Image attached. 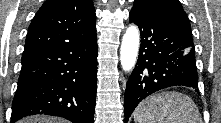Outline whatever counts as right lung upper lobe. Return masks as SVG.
<instances>
[{"label":"right lung upper lobe","instance_id":"obj_1","mask_svg":"<svg viewBox=\"0 0 221 123\" xmlns=\"http://www.w3.org/2000/svg\"><path fill=\"white\" fill-rule=\"evenodd\" d=\"M91 0H46L33 18L24 52L63 47L96 34Z\"/></svg>","mask_w":221,"mask_h":123}]
</instances>
